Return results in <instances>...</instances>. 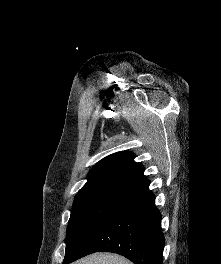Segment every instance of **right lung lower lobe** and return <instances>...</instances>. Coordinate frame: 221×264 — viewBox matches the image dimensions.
<instances>
[{"label":"right lung lower lobe","instance_id":"1","mask_svg":"<svg viewBox=\"0 0 221 264\" xmlns=\"http://www.w3.org/2000/svg\"><path fill=\"white\" fill-rule=\"evenodd\" d=\"M149 184L145 178L125 189L83 247L63 264L99 251L123 255L135 264H163L161 214Z\"/></svg>","mask_w":221,"mask_h":264}]
</instances>
